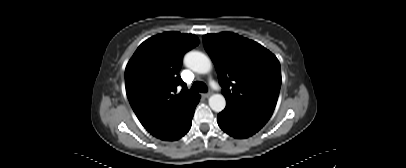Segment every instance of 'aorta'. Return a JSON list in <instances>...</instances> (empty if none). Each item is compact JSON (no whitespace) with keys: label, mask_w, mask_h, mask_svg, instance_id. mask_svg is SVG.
<instances>
[{"label":"aorta","mask_w":406,"mask_h":168,"mask_svg":"<svg viewBox=\"0 0 406 168\" xmlns=\"http://www.w3.org/2000/svg\"><path fill=\"white\" fill-rule=\"evenodd\" d=\"M184 64L192 71L206 74L212 68L211 60L202 52L190 51L184 57ZM209 106L215 112H221L226 106V100L221 94H213L209 98Z\"/></svg>","instance_id":"1"}]
</instances>
